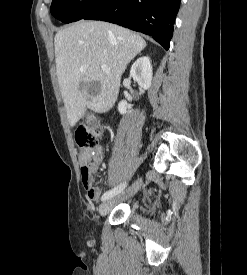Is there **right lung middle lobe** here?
Segmentation results:
<instances>
[{
    "label": "right lung middle lobe",
    "mask_w": 247,
    "mask_h": 275,
    "mask_svg": "<svg viewBox=\"0 0 247 275\" xmlns=\"http://www.w3.org/2000/svg\"><path fill=\"white\" fill-rule=\"evenodd\" d=\"M104 0H53L51 13L64 23H71L83 17Z\"/></svg>",
    "instance_id": "obj_1"
}]
</instances>
